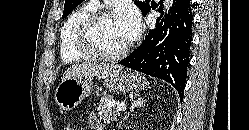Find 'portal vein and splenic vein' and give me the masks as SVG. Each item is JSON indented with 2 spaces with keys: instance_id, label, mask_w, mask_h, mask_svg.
Segmentation results:
<instances>
[{
  "instance_id": "18ae733b",
  "label": "portal vein and splenic vein",
  "mask_w": 249,
  "mask_h": 130,
  "mask_svg": "<svg viewBox=\"0 0 249 130\" xmlns=\"http://www.w3.org/2000/svg\"><path fill=\"white\" fill-rule=\"evenodd\" d=\"M126 106H127V105H126L125 103H121V104L117 105L116 111H117V112L123 111V110L126 109Z\"/></svg>"
}]
</instances>
